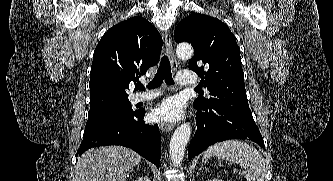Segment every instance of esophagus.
Listing matches in <instances>:
<instances>
[{
  "instance_id": "34e87169",
  "label": "esophagus",
  "mask_w": 333,
  "mask_h": 181,
  "mask_svg": "<svg viewBox=\"0 0 333 181\" xmlns=\"http://www.w3.org/2000/svg\"><path fill=\"white\" fill-rule=\"evenodd\" d=\"M165 47H166V52L168 54L170 63H171V67L172 69L175 71L178 67V63L176 61L174 52H173V47H172V37H171V33L169 31H167L165 33ZM159 128L163 131V132H170L174 129V124L172 123H168V122H160L159 123Z\"/></svg>"
}]
</instances>
